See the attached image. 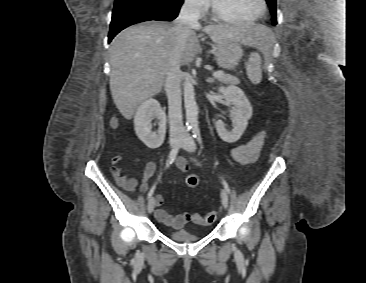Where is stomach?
Listing matches in <instances>:
<instances>
[{
  "mask_svg": "<svg viewBox=\"0 0 366 283\" xmlns=\"http://www.w3.org/2000/svg\"><path fill=\"white\" fill-rule=\"evenodd\" d=\"M213 48L217 64L223 69H234L243 55L241 43L237 41H219Z\"/></svg>",
  "mask_w": 366,
  "mask_h": 283,
  "instance_id": "1",
  "label": "stomach"
}]
</instances>
